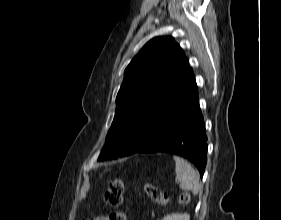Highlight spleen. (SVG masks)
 <instances>
[{
    "instance_id": "obj_1",
    "label": "spleen",
    "mask_w": 281,
    "mask_h": 220,
    "mask_svg": "<svg viewBox=\"0 0 281 220\" xmlns=\"http://www.w3.org/2000/svg\"><path fill=\"white\" fill-rule=\"evenodd\" d=\"M173 159L176 163L175 172L180 187L192 191L193 194H198L201 189L198 172L186 160L178 156H174Z\"/></svg>"
}]
</instances>
